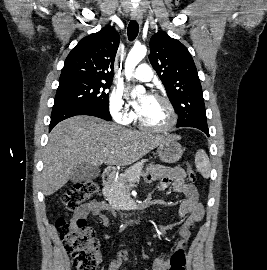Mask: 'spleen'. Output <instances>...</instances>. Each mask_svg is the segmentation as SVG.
<instances>
[{"label":"spleen","mask_w":267,"mask_h":270,"mask_svg":"<svg viewBox=\"0 0 267 270\" xmlns=\"http://www.w3.org/2000/svg\"><path fill=\"white\" fill-rule=\"evenodd\" d=\"M195 164L197 170L201 173L204 178H209L210 176V162L207 154L204 150H198L195 155Z\"/></svg>","instance_id":"1"}]
</instances>
